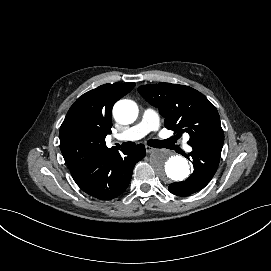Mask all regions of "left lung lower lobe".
<instances>
[{"label":"left lung lower lobe","mask_w":271,"mask_h":271,"mask_svg":"<svg viewBox=\"0 0 271 271\" xmlns=\"http://www.w3.org/2000/svg\"><path fill=\"white\" fill-rule=\"evenodd\" d=\"M193 159L194 172L181 182L169 185V191L177 196H188L203 189L213 178L218 165L221 154H213L205 147H193V151L186 155Z\"/></svg>","instance_id":"0a47b994"}]
</instances>
